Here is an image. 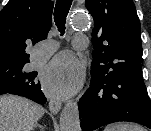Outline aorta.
Returning <instances> with one entry per match:
<instances>
[{
  "label": "aorta",
  "instance_id": "1",
  "mask_svg": "<svg viewBox=\"0 0 151 131\" xmlns=\"http://www.w3.org/2000/svg\"><path fill=\"white\" fill-rule=\"evenodd\" d=\"M75 28H85L88 25L86 16L75 15L71 21ZM61 131H80L79 108L76 102L68 101L60 113Z\"/></svg>",
  "mask_w": 151,
  "mask_h": 131
}]
</instances>
